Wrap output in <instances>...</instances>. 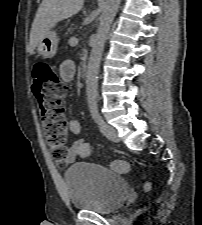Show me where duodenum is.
<instances>
[{
	"label": "duodenum",
	"mask_w": 202,
	"mask_h": 225,
	"mask_svg": "<svg viewBox=\"0 0 202 225\" xmlns=\"http://www.w3.org/2000/svg\"><path fill=\"white\" fill-rule=\"evenodd\" d=\"M88 65H89L88 57L83 56L82 61H81L83 75H86V73L88 71Z\"/></svg>",
	"instance_id": "obj_1"
}]
</instances>
